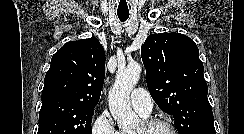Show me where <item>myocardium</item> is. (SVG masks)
Wrapping results in <instances>:
<instances>
[{"label":"myocardium","instance_id":"1","mask_svg":"<svg viewBox=\"0 0 244 134\" xmlns=\"http://www.w3.org/2000/svg\"><path fill=\"white\" fill-rule=\"evenodd\" d=\"M142 130L139 132H135L134 134H147L154 127L164 126L169 129L171 134H179L176 127L169 121L164 119H147L144 120L141 124Z\"/></svg>","mask_w":244,"mask_h":134}]
</instances>
